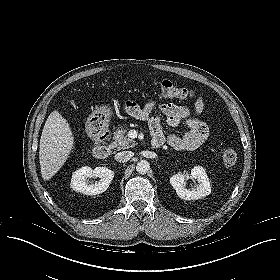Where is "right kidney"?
Segmentation results:
<instances>
[{
	"mask_svg": "<svg viewBox=\"0 0 280 280\" xmlns=\"http://www.w3.org/2000/svg\"><path fill=\"white\" fill-rule=\"evenodd\" d=\"M98 177L100 180L95 183H90L88 178ZM114 172L106 167H91L85 166L74 172L71 179V188L76 192H81L85 195H97L107 190Z\"/></svg>",
	"mask_w": 280,
	"mask_h": 280,
	"instance_id": "ca27d5eb",
	"label": "right kidney"
}]
</instances>
